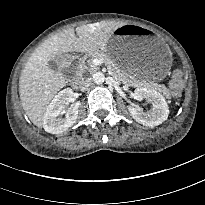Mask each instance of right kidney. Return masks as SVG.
I'll return each mask as SVG.
<instances>
[{"label": "right kidney", "instance_id": "obj_1", "mask_svg": "<svg viewBox=\"0 0 205 205\" xmlns=\"http://www.w3.org/2000/svg\"><path fill=\"white\" fill-rule=\"evenodd\" d=\"M73 90L70 88L60 91L49 104L44 115L43 127L46 132L51 134H60L70 128L78 117V107L72 106L66 109L73 97ZM63 113L65 118H59Z\"/></svg>", "mask_w": 205, "mask_h": 205}]
</instances>
